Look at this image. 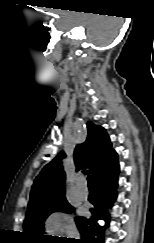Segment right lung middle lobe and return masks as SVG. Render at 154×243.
Masks as SVG:
<instances>
[{"mask_svg":"<svg viewBox=\"0 0 154 243\" xmlns=\"http://www.w3.org/2000/svg\"><path fill=\"white\" fill-rule=\"evenodd\" d=\"M56 211L71 212L72 207L66 198L57 199L51 202L41 204L36 207L28 208L26 218L23 224L25 236L27 238H48L43 234H37L32 231H44V221L51 213Z\"/></svg>","mask_w":154,"mask_h":243,"instance_id":"obj_1","label":"right lung middle lobe"}]
</instances>
